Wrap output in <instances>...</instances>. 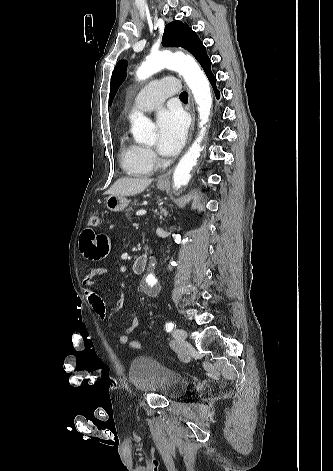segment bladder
<instances>
[{
  "label": "bladder",
  "mask_w": 333,
  "mask_h": 471,
  "mask_svg": "<svg viewBox=\"0 0 333 471\" xmlns=\"http://www.w3.org/2000/svg\"><path fill=\"white\" fill-rule=\"evenodd\" d=\"M131 385L139 392L177 399L188 389V380L178 372L149 356L134 358L129 366Z\"/></svg>",
  "instance_id": "31cf9c89"
}]
</instances>
